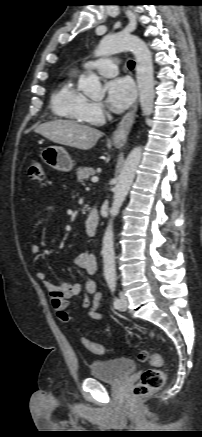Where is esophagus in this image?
I'll list each match as a JSON object with an SVG mask.
<instances>
[{
  "label": "esophagus",
  "instance_id": "esophagus-1",
  "mask_svg": "<svg viewBox=\"0 0 202 437\" xmlns=\"http://www.w3.org/2000/svg\"><path fill=\"white\" fill-rule=\"evenodd\" d=\"M138 100L132 105L130 110L123 116L117 128L112 134V143L122 146L126 143L127 137L131 131L135 118L137 116Z\"/></svg>",
  "mask_w": 202,
  "mask_h": 437
}]
</instances>
